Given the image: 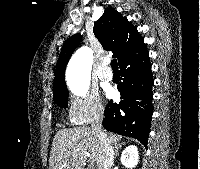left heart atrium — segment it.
<instances>
[{
  "label": "left heart atrium",
  "mask_w": 200,
  "mask_h": 169,
  "mask_svg": "<svg viewBox=\"0 0 200 169\" xmlns=\"http://www.w3.org/2000/svg\"><path fill=\"white\" fill-rule=\"evenodd\" d=\"M111 95H112V91H111V90H108V91H107V96L110 97Z\"/></svg>",
  "instance_id": "obj_1"
}]
</instances>
